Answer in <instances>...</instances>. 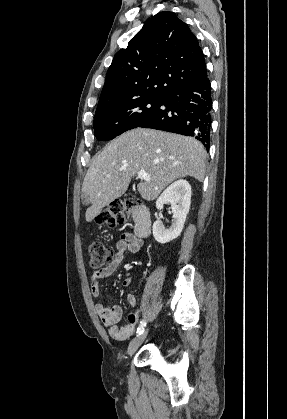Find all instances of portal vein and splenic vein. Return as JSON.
<instances>
[{
	"instance_id": "1",
	"label": "portal vein and splenic vein",
	"mask_w": 287,
	"mask_h": 419,
	"mask_svg": "<svg viewBox=\"0 0 287 419\" xmlns=\"http://www.w3.org/2000/svg\"><path fill=\"white\" fill-rule=\"evenodd\" d=\"M137 176L141 180L150 181V176L144 170H140Z\"/></svg>"
}]
</instances>
